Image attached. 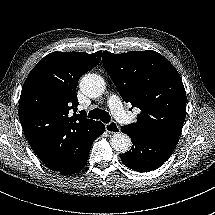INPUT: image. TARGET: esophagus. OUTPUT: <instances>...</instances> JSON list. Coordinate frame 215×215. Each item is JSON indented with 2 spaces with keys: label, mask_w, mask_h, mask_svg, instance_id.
I'll return each instance as SVG.
<instances>
[{
  "label": "esophagus",
  "mask_w": 215,
  "mask_h": 215,
  "mask_svg": "<svg viewBox=\"0 0 215 215\" xmlns=\"http://www.w3.org/2000/svg\"><path fill=\"white\" fill-rule=\"evenodd\" d=\"M105 129L109 133H119L120 132V127L116 121H110L109 123H106Z\"/></svg>",
  "instance_id": "1"
}]
</instances>
